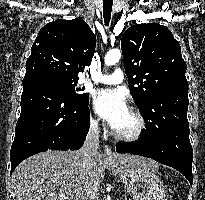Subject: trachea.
<instances>
[{
	"label": "trachea",
	"mask_w": 205,
	"mask_h": 200,
	"mask_svg": "<svg viewBox=\"0 0 205 200\" xmlns=\"http://www.w3.org/2000/svg\"><path fill=\"white\" fill-rule=\"evenodd\" d=\"M112 0H104L103 1V17L105 25L108 26L111 18V11H112Z\"/></svg>",
	"instance_id": "obj_1"
}]
</instances>
